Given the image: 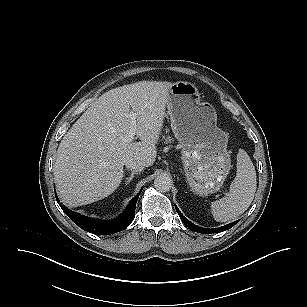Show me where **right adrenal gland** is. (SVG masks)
Here are the masks:
<instances>
[{
    "mask_svg": "<svg viewBox=\"0 0 307 307\" xmlns=\"http://www.w3.org/2000/svg\"><path fill=\"white\" fill-rule=\"evenodd\" d=\"M135 174H138V172L135 171L131 172L130 176L126 178V184H129L131 180H133Z\"/></svg>",
    "mask_w": 307,
    "mask_h": 307,
    "instance_id": "1",
    "label": "right adrenal gland"
}]
</instances>
